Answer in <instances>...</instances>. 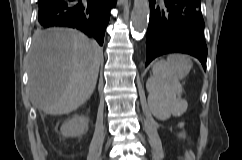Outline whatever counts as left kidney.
Wrapping results in <instances>:
<instances>
[{
  "label": "left kidney",
  "instance_id": "5707ae66",
  "mask_svg": "<svg viewBox=\"0 0 242 160\" xmlns=\"http://www.w3.org/2000/svg\"><path fill=\"white\" fill-rule=\"evenodd\" d=\"M177 101H178L177 105H180V107H181L180 112L178 113V115H180L187 109V103L180 99ZM151 111H152L153 115L161 121H165V120L169 119L171 116V113H172L169 109H163L159 103L153 104L151 106Z\"/></svg>",
  "mask_w": 242,
  "mask_h": 160
}]
</instances>
